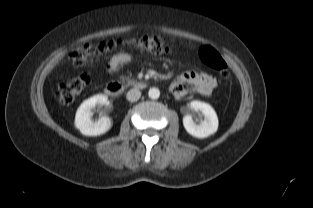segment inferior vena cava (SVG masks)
<instances>
[{
	"mask_svg": "<svg viewBox=\"0 0 313 208\" xmlns=\"http://www.w3.org/2000/svg\"><path fill=\"white\" fill-rule=\"evenodd\" d=\"M140 97H141V92L138 89L129 90L126 96L127 100L131 102H135L139 100Z\"/></svg>",
	"mask_w": 313,
	"mask_h": 208,
	"instance_id": "inferior-vena-cava-1",
	"label": "inferior vena cava"
}]
</instances>
